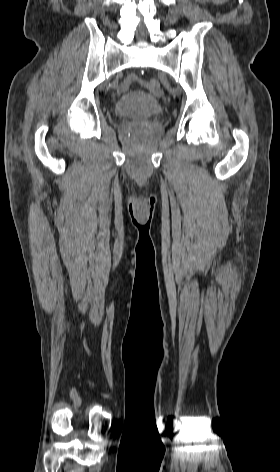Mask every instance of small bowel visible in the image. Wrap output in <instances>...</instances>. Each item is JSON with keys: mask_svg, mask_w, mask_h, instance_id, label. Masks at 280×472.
<instances>
[{"mask_svg": "<svg viewBox=\"0 0 280 472\" xmlns=\"http://www.w3.org/2000/svg\"><path fill=\"white\" fill-rule=\"evenodd\" d=\"M134 82H140L142 84H146L144 81L140 80L135 74H129L121 83L120 90L122 92L128 90L130 85Z\"/></svg>", "mask_w": 280, "mask_h": 472, "instance_id": "obj_1", "label": "small bowel"}]
</instances>
